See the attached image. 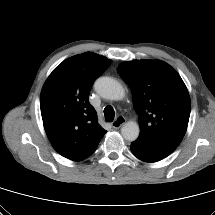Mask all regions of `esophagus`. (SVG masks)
<instances>
[{
	"mask_svg": "<svg viewBox=\"0 0 215 215\" xmlns=\"http://www.w3.org/2000/svg\"><path fill=\"white\" fill-rule=\"evenodd\" d=\"M125 122H126L125 117H123V116H118V117L116 118V120H114V121L112 122V127H113L114 129H119L121 126H123V125L125 124Z\"/></svg>",
	"mask_w": 215,
	"mask_h": 215,
	"instance_id": "obj_1",
	"label": "esophagus"
}]
</instances>
